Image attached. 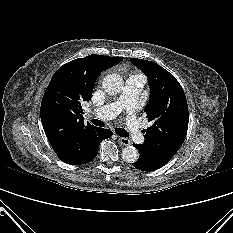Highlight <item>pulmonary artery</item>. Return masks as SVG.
Here are the masks:
<instances>
[{"mask_svg": "<svg viewBox=\"0 0 233 233\" xmlns=\"http://www.w3.org/2000/svg\"><path fill=\"white\" fill-rule=\"evenodd\" d=\"M145 81L146 79L142 74H131L125 81L122 94L115 102L97 108L92 112V114L99 119L109 120L116 117L122 109H127L128 131L136 143H142L144 140L135 116V111L137 108L138 97L143 89Z\"/></svg>", "mask_w": 233, "mask_h": 233, "instance_id": "pulmonary-artery-1", "label": "pulmonary artery"}]
</instances>
